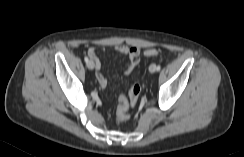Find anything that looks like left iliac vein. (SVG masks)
Returning a JSON list of instances; mask_svg holds the SVG:
<instances>
[{
	"instance_id": "1",
	"label": "left iliac vein",
	"mask_w": 244,
	"mask_h": 157,
	"mask_svg": "<svg viewBox=\"0 0 244 157\" xmlns=\"http://www.w3.org/2000/svg\"><path fill=\"white\" fill-rule=\"evenodd\" d=\"M149 71L151 73H154L156 71V65L155 64H151L150 67H149Z\"/></svg>"
}]
</instances>
